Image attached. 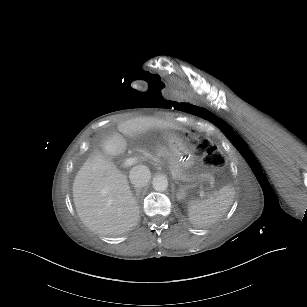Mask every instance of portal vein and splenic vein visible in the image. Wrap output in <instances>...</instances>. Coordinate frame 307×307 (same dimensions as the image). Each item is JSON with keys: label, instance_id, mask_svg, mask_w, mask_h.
Segmentation results:
<instances>
[{"label": "portal vein and splenic vein", "instance_id": "portal-vein-and-splenic-vein-1", "mask_svg": "<svg viewBox=\"0 0 307 307\" xmlns=\"http://www.w3.org/2000/svg\"><path fill=\"white\" fill-rule=\"evenodd\" d=\"M138 160H139L138 157L134 155V156L128 157L125 163H126L127 166L130 167V166H132L133 164L137 163ZM197 189H198L199 192L201 193V195H202L201 197L204 198V197H205V196H204V193H205V192H204V190H203V186L200 184V185L197 187Z\"/></svg>", "mask_w": 307, "mask_h": 307}]
</instances>
